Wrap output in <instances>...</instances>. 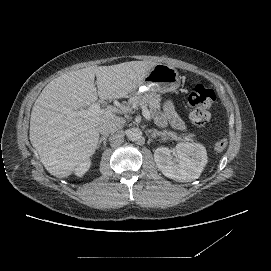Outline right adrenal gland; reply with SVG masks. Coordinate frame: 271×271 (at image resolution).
Here are the masks:
<instances>
[{
	"label": "right adrenal gland",
	"instance_id": "1",
	"mask_svg": "<svg viewBox=\"0 0 271 271\" xmlns=\"http://www.w3.org/2000/svg\"><path fill=\"white\" fill-rule=\"evenodd\" d=\"M107 137H108V135H104V136H102V137L99 138V144H98L97 150H100V148L102 146V143H103L102 150H104V151L106 150Z\"/></svg>",
	"mask_w": 271,
	"mask_h": 271
}]
</instances>
